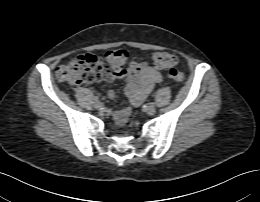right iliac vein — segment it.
Returning <instances> with one entry per match:
<instances>
[{"label":"right iliac vein","instance_id":"1","mask_svg":"<svg viewBox=\"0 0 260 202\" xmlns=\"http://www.w3.org/2000/svg\"><path fill=\"white\" fill-rule=\"evenodd\" d=\"M94 107H95L96 109H100V108L102 107V103H101L100 101H95V102H94Z\"/></svg>","mask_w":260,"mask_h":202}]
</instances>
